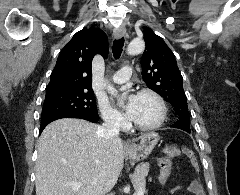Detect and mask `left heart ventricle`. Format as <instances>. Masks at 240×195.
<instances>
[{
    "mask_svg": "<svg viewBox=\"0 0 240 195\" xmlns=\"http://www.w3.org/2000/svg\"><path fill=\"white\" fill-rule=\"evenodd\" d=\"M159 114L157 101L150 95L137 97L134 114L131 120L139 125H147L154 122Z\"/></svg>",
    "mask_w": 240,
    "mask_h": 195,
    "instance_id": "b2bd125f",
    "label": "left heart ventricle"
}]
</instances>
